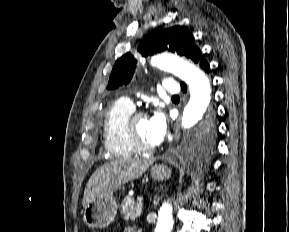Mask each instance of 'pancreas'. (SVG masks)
<instances>
[{
  "mask_svg": "<svg viewBox=\"0 0 289 232\" xmlns=\"http://www.w3.org/2000/svg\"><path fill=\"white\" fill-rule=\"evenodd\" d=\"M142 207V204L136 203L132 197H126L122 202L120 214L124 216L125 220L134 221L140 217Z\"/></svg>",
  "mask_w": 289,
  "mask_h": 232,
  "instance_id": "obj_1",
  "label": "pancreas"
}]
</instances>
